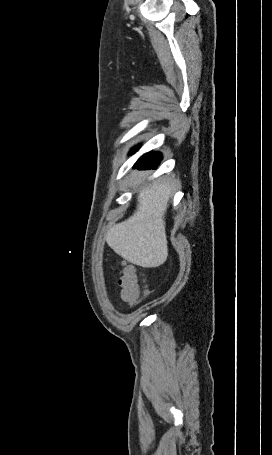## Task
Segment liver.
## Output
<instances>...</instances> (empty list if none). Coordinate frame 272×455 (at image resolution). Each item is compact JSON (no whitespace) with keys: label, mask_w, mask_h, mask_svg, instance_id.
Returning a JSON list of instances; mask_svg holds the SVG:
<instances>
[{"label":"liver","mask_w":272,"mask_h":455,"mask_svg":"<svg viewBox=\"0 0 272 455\" xmlns=\"http://www.w3.org/2000/svg\"><path fill=\"white\" fill-rule=\"evenodd\" d=\"M166 183L154 182L137 197V210L109 228L107 244L128 262L144 268L162 265L168 257L164 215L172 196Z\"/></svg>","instance_id":"6515ba94"}]
</instances>
